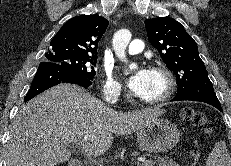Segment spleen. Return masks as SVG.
I'll return each mask as SVG.
<instances>
[{
  "label": "spleen",
  "mask_w": 231,
  "mask_h": 166,
  "mask_svg": "<svg viewBox=\"0 0 231 166\" xmlns=\"http://www.w3.org/2000/svg\"><path fill=\"white\" fill-rule=\"evenodd\" d=\"M206 166H231V158L225 141L215 143L206 161Z\"/></svg>",
  "instance_id": "3e777b00"
}]
</instances>
